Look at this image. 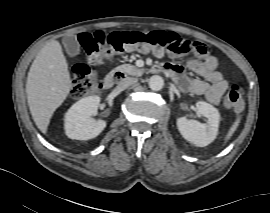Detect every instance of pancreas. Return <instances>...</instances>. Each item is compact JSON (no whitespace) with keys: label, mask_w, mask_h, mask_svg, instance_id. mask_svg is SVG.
Wrapping results in <instances>:
<instances>
[{"label":"pancreas","mask_w":270,"mask_h":213,"mask_svg":"<svg viewBox=\"0 0 270 213\" xmlns=\"http://www.w3.org/2000/svg\"><path fill=\"white\" fill-rule=\"evenodd\" d=\"M118 71L125 75H130V76H140L144 73V69H139L134 65L131 64H123L120 65L116 68Z\"/></svg>","instance_id":"1"}]
</instances>
